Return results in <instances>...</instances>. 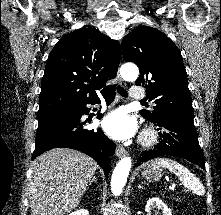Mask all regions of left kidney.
<instances>
[{
    "label": "left kidney",
    "instance_id": "5707ae66",
    "mask_svg": "<svg viewBox=\"0 0 221 215\" xmlns=\"http://www.w3.org/2000/svg\"><path fill=\"white\" fill-rule=\"evenodd\" d=\"M155 208L161 209L163 212V215H172L171 210L158 197L151 198L147 201V204L145 206V211L147 212V215H150L151 210Z\"/></svg>",
    "mask_w": 221,
    "mask_h": 215
}]
</instances>
